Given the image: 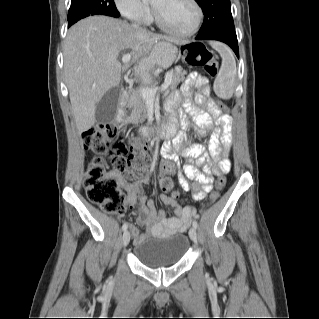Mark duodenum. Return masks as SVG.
<instances>
[{
  "mask_svg": "<svg viewBox=\"0 0 319 319\" xmlns=\"http://www.w3.org/2000/svg\"><path fill=\"white\" fill-rule=\"evenodd\" d=\"M129 102V96L126 92H123L117 104L116 121L119 124H126L128 122L126 115V107ZM177 130V122L175 119H171L170 122L162 127L156 125H144L140 127L141 134L147 141H151L156 137H173Z\"/></svg>",
  "mask_w": 319,
  "mask_h": 319,
  "instance_id": "duodenum-1",
  "label": "duodenum"
}]
</instances>
